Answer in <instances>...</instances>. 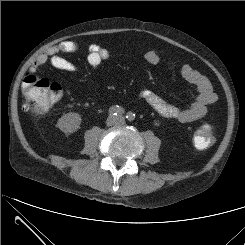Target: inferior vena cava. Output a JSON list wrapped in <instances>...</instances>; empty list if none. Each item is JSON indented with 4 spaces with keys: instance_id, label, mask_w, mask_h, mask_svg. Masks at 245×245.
Wrapping results in <instances>:
<instances>
[{
    "instance_id": "obj_1",
    "label": "inferior vena cava",
    "mask_w": 245,
    "mask_h": 245,
    "mask_svg": "<svg viewBox=\"0 0 245 245\" xmlns=\"http://www.w3.org/2000/svg\"><path fill=\"white\" fill-rule=\"evenodd\" d=\"M120 121H121V122H123V121H124V119H123V118H121V119H120Z\"/></svg>"
}]
</instances>
